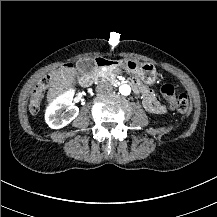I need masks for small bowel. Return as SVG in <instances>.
<instances>
[{"label":"small bowel","mask_w":217,"mask_h":217,"mask_svg":"<svg viewBox=\"0 0 217 217\" xmlns=\"http://www.w3.org/2000/svg\"><path fill=\"white\" fill-rule=\"evenodd\" d=\"M136 92H142L143 93V106L144 108L150 112L155 114H163L166 111V107L157 101L154 93L147 87L141 86L138 83V86L136 87ZM170 102H172L170 100Z\"/></svg>","instance_id":"1"}]
</instances>
